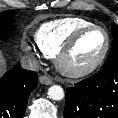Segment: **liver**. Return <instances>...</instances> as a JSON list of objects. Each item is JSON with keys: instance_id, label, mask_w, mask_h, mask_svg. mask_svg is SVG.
Wrapping results in <instances>:
<instances>
[{"instance_id": "obj_1", "label": "liver", "mask_w": 118, "mask_h": 118, "mask_svg": "<svg viewBox=\"0 0 118 118\" xmlns=\"http://www.w3.org/2000/svg\"><path fill=\"white\" fill-rule=\"evenodd\" d=\"M6 66H7L6 60H5V58L3 57L2 52L0 51V77H1L2 74L5 72Z\"/></svg>"}]
</instances>
